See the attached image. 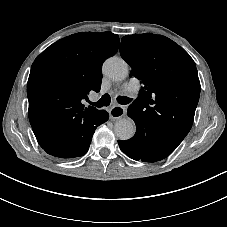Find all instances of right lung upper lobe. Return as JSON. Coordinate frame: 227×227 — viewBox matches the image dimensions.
<instances>
[{
	"mask_svg": "<svg viewBox=\"0 0 227 227\" xmlns=\"http://www.w3.org/2000/svg\"><path fill=\"white\" fill-rule=\"evenodd\" d=\"M111 32H81L65 37L42 52L31 67L27 83L29 120L48 140L61 135L77 121L93 124L108 120L105 110L83 105L91 90L98 92L101 67L119 47Z\"/></svg>",
	"mask_w": 227,
	"mask_h": 227,
	"instance_id": "cb5924a9",
	"label": "right lung upper lobe"
}]
</instances>
